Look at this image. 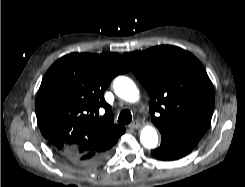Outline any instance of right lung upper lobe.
Here are the masks:
<instances>
[{"instance_id": "1", "label": "right lung upper lobe", "mask_w": 245, "mask_h": 187, "mask_svg": "<svg viewBox=\"0 0 245 187\" xmlns=\"http://www.w3.org/2000/svg\"><path fill=\"white\" fill-rule=\"evenodd\" d=\"M128 71L117 53H71L49 68L35 110L39 128L56 152L84 154L99 144H113L125 131L112 122L103 93L115 76ZM101 108L106 113L98 117Z\"/></svg>"}]
</instances>
